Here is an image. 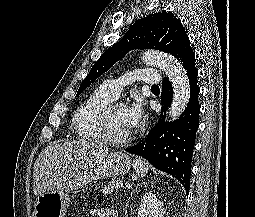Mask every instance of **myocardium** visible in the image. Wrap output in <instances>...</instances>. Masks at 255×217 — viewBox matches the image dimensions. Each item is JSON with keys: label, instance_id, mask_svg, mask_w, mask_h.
Instances as JSON below:
<instances>
[{"label": "myocardium", "instance_id": "f54148a6", "mask_svg": "<svg viewBox=\"0 0 255 217\" xmlns=\"http://www.w3.org/2000/svg\"><path fill=\"white\" fill-rule=\"evenodd\" d=\"M117 106H125V104L112 100L100 110L98 114V126L105 141L113 144H126L133 139V134L131 133L125 137H118L112 133L110 127V115L113 109Z\"/></svg>", "mask_w": 255, "mask_h": 217}]
</instances>
